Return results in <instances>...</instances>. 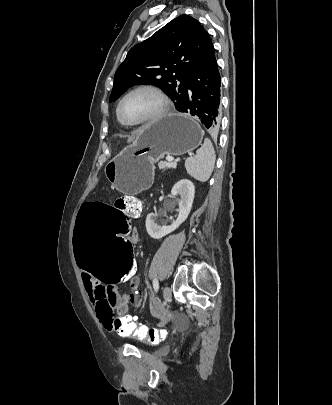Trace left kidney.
I'll list each match as a JSON object with an SVG mask.
<instances>
[{"label":"left kidney","mask_w":332,"mask_h":405,"mask_svg":"<svg viewBox=\"0 0 332 405\" xmlns=\"http://www.w3.org/2000/svg\"><path fill=\"white\" fill-rule=\"evenodd\" d=\"M171 194L180 196L178 201L179 215L171 225H166L164 220L156 222L157 214H148L145 225L147 233L153 239H160L173 232L187 219L194 200L195 186L190 180L182 179L173 186Z\"/></svg>","instance_id":"1"}]
</instances>
